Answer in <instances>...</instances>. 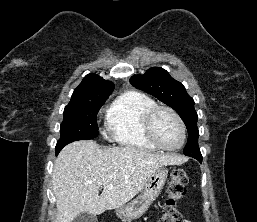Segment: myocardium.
Returning a JSON list of instances; mask_svg holds the SVG:
<instances>
[{
    "label": "myocardium",
    "instance_id": "1",
    "mask_svg": "<svg viewBox=\"0 0 257 222\" xmlns=\"http://www.w3.org/2000/svg\"><path fill=\"white\" fill-rule=\"evenodd\" d=\"M162 111L170 113L175 118V120L177 121V123L180 127L181 142L176 147H167V146L163 145L158 140V138L155 134L154 121H155L156 116ZM143 126H144V132H145L148 140L158 149H161L164 151H169V152L178 151L184 146V144L186 142L187 133H186L185 123H184L183 119L181 118V116L171 107L163 106V105H156L153 108H151L145 115Z\"/></svg>",
    "mask_w": 257,
    "mask_h": 222
}]
</instances>
